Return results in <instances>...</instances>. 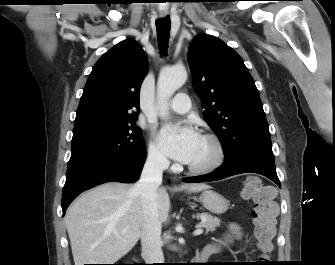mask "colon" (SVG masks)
I'll list each match as a JSON object with an SVG mask.
<instances>
[{"label": "colon", "instance_id": "1", "mask_svg": "<svg viewBox=\"0 0 335 265\" xmlns=\"http://www.w3.org/2000/svg\"><path fill=\"white\" fill-rule=\"evenodd\" d=\"M242 197L251 199L255 203L254 233L257 246L261 252L257 263L268 265L269 254L273 250L276 217L278 215V207L274 201L275 191L272 187L264 185L258 177L250 176L245 180Z\"/></svg>", "mask_w": 335, "mask_h": 265}]
</instances>
